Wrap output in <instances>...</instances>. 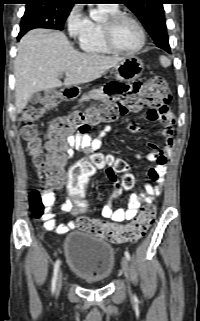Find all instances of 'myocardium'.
<instances>
[{"mask_svg":"<svg viewBox=\"0 0 200 321\" xmlns=\"http://www.w3.org/2000/svg\"><path fill=\"white\" fill-rule=\"evenodd\" d=\"M122 19L132 21L140 33V44L133 50H122L119 48L114 39V30L116 25ZM102 35L106 46L113 52L121 55H135L139 53L146 44V34L142 24L137 18L127 12L118 11L114 14L108 15L105 21L102 22Z\"/></svg>","mask_w":200,"mask_h":321,"instance_id":"myocardium-1","label":"myocardium"}]
</instances>
